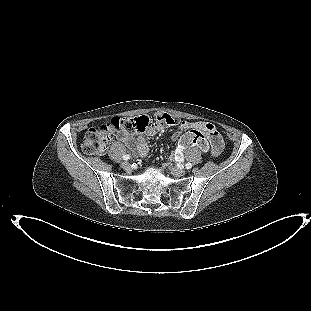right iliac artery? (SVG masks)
Masks as SVG:
<instances>
[{"instance_id":"right-iliac-artery-1","label":"right iliac artery","mask_w":311,"mask_h":311,"mask_svg":"<svg viewBox=\"0 0 311 311\" xmlns=\"http://www.w3.org/2000/svg\"><path fill=\"white\" fill-rule=\"evenodd\" d=\"M123 159H124V160H129V159H130V156L126 154V155L123 156Z\"/></svg>"}]
</instances>
